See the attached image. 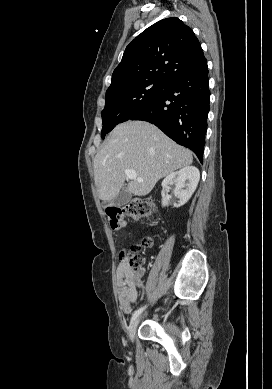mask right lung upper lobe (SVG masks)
Wrapping results in <instances>:
<instances>
[{
  "instance_id": "1",
  "label": "right lung upper lobe",
  "mask_w": 272,
  "mask_h": 389,
  "mask_svg": "<svg viewBox=\"0 0 272 389\" xmlns=\"http://www.w3.org/2000/svg\"><path fill=\"white\" fill-rule=\"evenodd\" d=\"M204 58L190 27L176 17L163 19L126 47L107 91L150 79L166 82Z\"/></svg>"
}]
</instances>
